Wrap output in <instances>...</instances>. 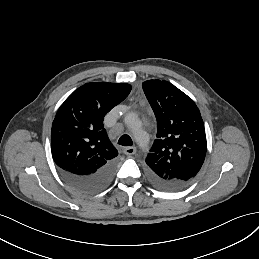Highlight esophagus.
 <instances>
[{
  "mask_svg": "<svg viewBox=\"0 0 259 259\" xmlns=\"http://www.w3.org/2000/svg\"><path fill=\"white\" fill-rule=\"evenodd\" d=\"M123 151L126 155H134L137 152V148L134 146L126 147Z\"/></svg>",
  "mask_w": 259,
  "mask_h": 259,
  "instance_id": "obj_1",
  "label": "esophagus"
}]
</instances>
